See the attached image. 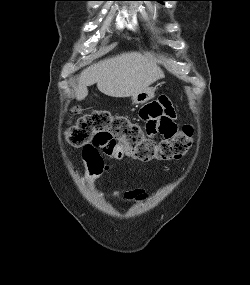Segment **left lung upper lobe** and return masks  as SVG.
Returning a JSON list of instances; mask_svg holds the SVG:
<instances>
[{
    "label": "left lung upper lobe",
    "mask_w": 250,
    "mask_h": 285,
    "mask_svg": "<svg viewBox=\"0 0 250 285\" xmlns=\"http://www.w3.org/2000/svg\"><path fill=\"white\" fill-rule=\"evenodd\" d=\"M157 1H167V0H157Z\"/></svg>",
    "instance_id": "left-lung-upper-lobe-1"
}]
</instances>
